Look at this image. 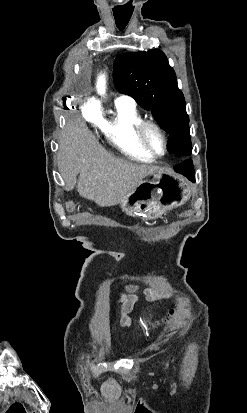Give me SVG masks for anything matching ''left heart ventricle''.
<instances>
[{"mask_svg": "<svg viewBox=\"0 0 247 413\" xmlns=\"http://www.w3.org/2000/svg\"><path fill=\"white\" fill-rule=\"evenodd\" d=\"M144 140L146 144L158 154L163 152L164 142L162 136L156 130L147 128L144 131Z\"/></svg>", "mask_w": 247, "mask_h": 413, "instance_id": "obj_1", "label": "left heart ventricle"}]
</instances>
